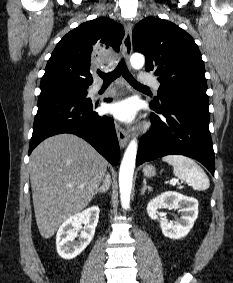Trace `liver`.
Returning a JSON list of instances; mask_svg holds the SVG:
<instances>
[{
    "label": "liver",
    "instance_id": "6515ba94",
    "mask_svg": "<svg viewBox=\"0 0 233 283\" xmlns=\"http://www.w3.org/2000/svg\"><path fill=\"white\" fill-rule=\"evenodd\" d=\"M106 160L73 134L47 138L32 152L30 181L36 223L41 236L52 237L95 195L106 172Z\"/></svg>",
    "mask_w": 233,
    "mask_h": 283
}]
</instances>
